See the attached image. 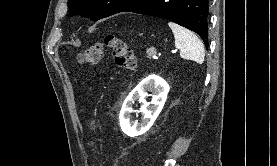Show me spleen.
<instances>
[{"instance_id": "1", "label": "spleen", "mask_w": 277, "mask_h": 166, "mask_svg": "<svg viewBox=\"0 0 277 166\" xmlns=\"http://www.w3.org/2000/svg\"><path fill=\"white\" fill-rule=\"evenodd\" d=\"M168 25L174 34L175 47L180 50V57L202 64L205 49L201 40L193 32L174 22H169Z\"/></svg>"}]
</instances>
